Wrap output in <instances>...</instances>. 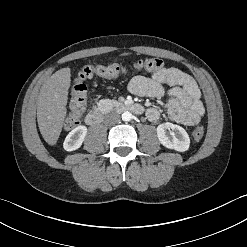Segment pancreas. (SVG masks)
I'll return each instance as SVG.
<instances>
[{
  "label": "pancreas",
  "mask_w": 247,
  "mask_h": 247,
  "mask_svg": "<svg viewBox=\"0 0 247 247\" xmlns=\"http://www.w3.org/2000/svg\"><path fill=\"white\" fill-rule=\"evenodd\" d=\"M120 103L116 100L102 99L98 102L99 109H112L115 106H119Z\"/></svg>",
  "instance_id": "pancreas-1"
}]
</instances>
